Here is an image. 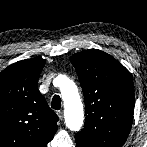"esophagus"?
Segmentation results:
<instances>
[{"label":"esophagus","mask_w":147,"mask_h":147,"mask_svg":"<svg viewBox=\"0 0 147 147\" xmlns=\"http://www.w3.org/2000/svg\"><path fill=\"white\" fill-rule=\"evenodd\" d=\"M56 114L60 120H63V112L62 111L59 110L56 112Z\"/></svg>","instance_id":"34e87169"}]
</instances>
